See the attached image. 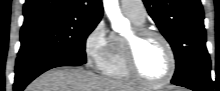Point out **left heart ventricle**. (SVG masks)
Wrapping results in <instances>:
<instances>
[{"label":"left heart ventricle","mask_w":220,"mask_h":91,"mask_svg":"<svg viewBox=\"0 0 220 91\" xmlns=\"http://www.w3.org/2000/svg\"><path fill=\"white\" fill-rule=\"evenodd\" d=\"M136 58L140 72L149 80H160L169 71L168 52L163 43L155 37L147 38L138 44Z\"/></svg>","instance_id":"1"}]
</instances>
